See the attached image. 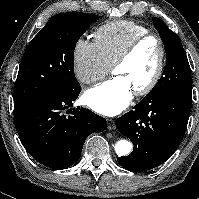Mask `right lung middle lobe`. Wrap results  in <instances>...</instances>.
I'll list each match as a JSON object with an SVG mask.
<instances>
[{
	"mask_svg": "<svg viewBox=\"0 0 199 199\" xmlns=\"http://www.w3.org/2000/svg\"><path fill=\"white\" fill-rule=\"evenodd\" d=\"M99 18L94 14L60 13L32 39L14 87L15 114L44 99L81 91L74 74V50L79 38Z\"/></svg>",
	"mask_w": 199,
	"mask_h": 199,
	"instance_id": "obj_1",
	"label": "right lung middle lobe"
}]
</instances>
